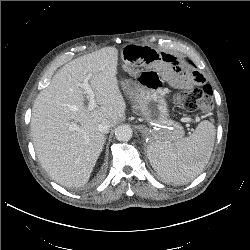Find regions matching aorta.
<instances>
[{"instance_id": "aorta-1", "label": "aorta", "mask_w": 250, "mask_h": 250, "mask_svg": "<svg viewBox=\"0 0 250 250\" xmlns=\"http://www.w3.org/2000/svg\"><path fill=\"white\" fill-rule=\"evenodd\" d=\"M133 135L132 128L127 124H122L116 128L115 136L119 141H128Z\"/></svg>"}]
</instances>
